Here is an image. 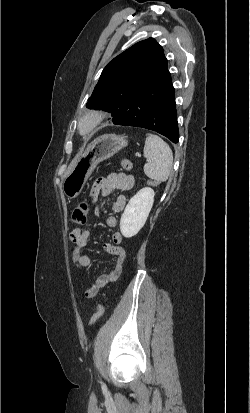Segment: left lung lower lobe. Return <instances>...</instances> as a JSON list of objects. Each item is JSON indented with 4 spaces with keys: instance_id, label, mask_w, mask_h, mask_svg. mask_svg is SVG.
I'll return each instance as SVG.
<instances>
[{
    "instance_id": "0a47b994",
    "label": "left lung lower lobe",
    "mask_w": 250,
    "mask_h": 413,
    "mask_svg": "<svg viewBox=\"0 0 250 413\" xmlns=\"http://www.w3.org/2000/svg\"><path fill=\"white\" fill-rule=\"evenodd\" d=\"M112 122L153 130L177 143V111L169 71L155 82L138 85L132 97L113 115Z\"/></svg>"
}]
</instances>
